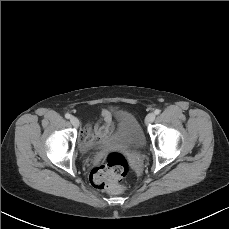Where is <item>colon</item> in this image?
<instances>
[{"label":"colon","instance_id":"5ec220e1","mask_svg":"<svg viewBox=\"0 0 229 229\" xmlns=\"http://www.w3.org/2000/svg\"><path fill=\"white\" fill-rule=\"evenodd\" d=\"M127 172L128 159L119 152H111L91 171L90 182L97 189L120 192Z\"/></svg>","mask_w":229,"mask_h":229}]
</instances>
